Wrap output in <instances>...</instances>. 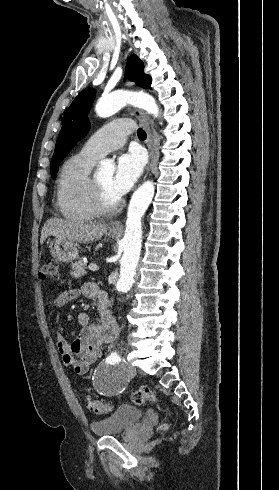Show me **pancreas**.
<instances>
[{"instance_id":"obj_1","label":"pancreas","mask_w":279,"mask_h":490,"mask_svg":"<svg viewBox=\"0 0 279 490\" xmlns=\"http://www.w3.org/2000/svg\"><path fill=\"white\" fill-rule=\"evenodd\" d=\"M88 272H86V264L83 262H72L71 264V276L73 278H82V276H86Z\"/></svg>"}]
</instances>
